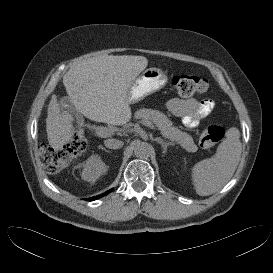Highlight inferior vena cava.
Segmentation results:
<instances>
[{
	"mask_svg": "<svg viewBox=\"0 0 273 273\" xmlns=\"http://www.w3.org/2000/svg\"><path fill=\"white\" fill-rule=\"evenodd\" d=\"M104 144L110 149H119L123 146V142L117 139H107L104 141Z\"/></svg>",
	"mask_w": 273,
	"mask_h": 273,
	"instance_id": "602c4592",
	"label": "inferior vena cava"
}]
</instances>
